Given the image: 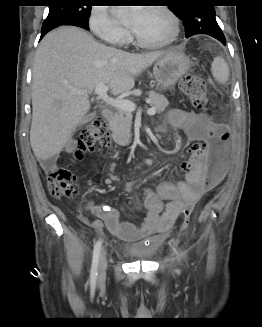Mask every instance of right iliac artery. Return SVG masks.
Wrapping results in <instances>:
<instances>
[{
	"label": "right iliac artery",
	"mask_w": 262,
	"mask_h": 327,
	"mask_svg": "<svg viewBox=\"0 0 262 327\" xmlns=\"http://www.w3.org/2000/svg\"><path fill=\"white\" fill-rule=\"evenodd\" d=\"M102 246V240H98L94 246L93 250V260H92V267L90 270V283L92 286L96 284L97 279V268H98V260L100 255V250Z\"/></svg>",
	"instance_id": "1"
}]
</instances>
